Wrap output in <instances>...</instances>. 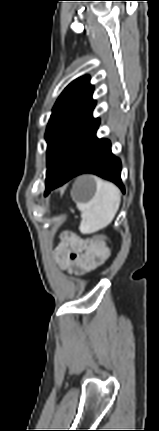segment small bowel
Here are the masks:
<instances>
[{
  "mask_svg": "<svg viewBox=\"0 0 159 431\" xmlns=\"http://www.w3.org/2000/svg\"><path fill=\"white\" fill-rule=\"evenodd\" d=\"M111 254L103 236L82 239L73 232H64L56 250L59 265L67 272L81 276L102 265Z\"/></svg>",
  "mask_w": 159,
  "mask_h": 431,
  "instance_id": "1",
  "label": "small bowel"
}]
</instances>
